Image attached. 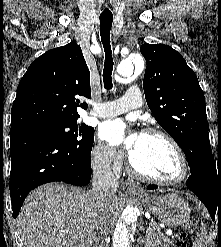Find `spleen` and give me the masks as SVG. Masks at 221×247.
Masks as SVG:
<instances>
[{
    "label": "spleen",
    "mask_w": 221,
    "mask_h": 247,
    "mask_svg": "<svg viewBox=\"0 0 221 247\" xmlns=\"http://www.w3.org/2000/svg\"><path fill=\"white\" fill-rule=\"evenodd\" d=\"M206 239H207V235L205 233V227H203L202 225L201 231L197 235L193 247H207Z\"/></svg>",
    "instance_id": "obj_1"
}]
</instances>
